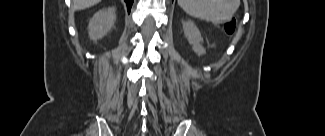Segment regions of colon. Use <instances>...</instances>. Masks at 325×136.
<instances>
[{"mask_svg":"<svg viewBox=\"0 0 325 136\" xmlns=\"http://www.w3.org/2000/svg\"><path fill=\"white\" fill-rule=\"evenodd\" d=\"M235 28H236V22H235V20H233V21H229V22H227V23L225 24V29H226V31L229 32V33L234 32Z\"/></svg>","mask_w":325,"mask_h":136,"instance_id":"5ec220e1","label":"colon"}]
</instances>
